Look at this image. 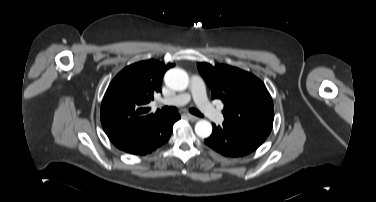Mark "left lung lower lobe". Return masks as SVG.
Listing matches in <instances>:
<instances>
[{"mask_svg":"<svg viewBox=\"0 0 376 202\" xmlns=\"http://www.w3.org/2000/svg\"><path fill=\"white\" fill-rule=\"evenodd\" d=\"M267 137L260 132L224 121L221 126L213 125L212 135L204 142L224 156L238 157L255 151Z\"/></svg>","mask_w":376,"mask_h":202,"instance_id":"1","label":"left lung lower lobe"}]
</instances>
